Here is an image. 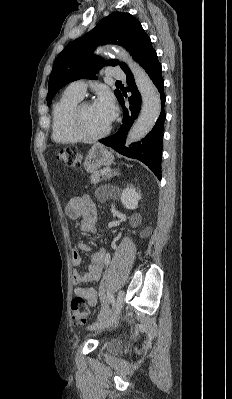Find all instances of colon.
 I'll list each match as a JSON object with an SVG mask.
<instances>
[{"label":"colon","mask_w":232,"mask_h":399,"mask_svg":"<svg viewBox=\"0 0 232 399\" xmlns=\"http://www.w3.org/2000/svg\"><path fill=\"white\" fill-rule=\"evenodd\" d=\"M78 161L79 147H74L73 153V145H68V150H65L64 164L66 166H75L78 165ZM56 162H61V157H56ZM73 301H84V296H73ZM86 316H91V311H86L85 303H72L71 326L81 325V329L85 330Z\"/></svg>","instance_id":"obj_1"}]
</instances>
